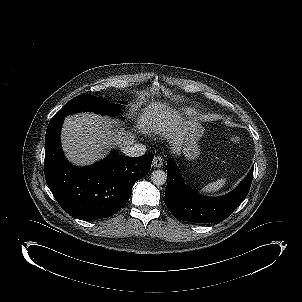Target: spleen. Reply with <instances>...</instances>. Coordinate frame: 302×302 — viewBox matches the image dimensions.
Here are the masks:
<instances>
[{"instance_id": "1", "label": "spleen", "mask_w": 302, "mask_h": 302, "mask_svg": "<svg viewBox=\"0 0 302 302\" xmlns=\"http://www.w3.org/2000/svg\"><path fill=\"white\" fill-rule=\"evenodd\" d=\"M226 184V178H221L218 179L215 182H211L207 184L205 187H203L200 192L204 194H210V193H215L216 191L220 190L223 188Z\"/></svg>"}]
</instances>
